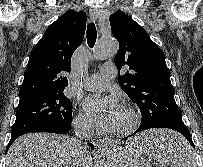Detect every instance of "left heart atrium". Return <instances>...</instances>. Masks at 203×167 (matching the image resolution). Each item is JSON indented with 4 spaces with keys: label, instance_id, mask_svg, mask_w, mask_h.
<instances>
[{
    "label": "left heart atrium",
    "instance_id": "1",
    "mask_svg": "<svg viewBox=\"0 0 203 167\" xmlns=\"http://www.w3.org/2000/svg\"><path fill=\"white\" fill-rule=\"evenodd\" d=\"M85 109L98 126L107 130L113 128L117 118L122 113L115 96H91L85 101Z\"/></svg>",
    "mask_w": 203,
    "mask_h": 167
}]
</instances>
